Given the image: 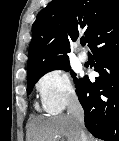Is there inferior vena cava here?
<instances>
[{
  "label": "inferior vena cava",
  "mask_w": 119,
  "mask_h": 141,
  "mask_svg": "<svg viewBox=\"0 0 119 141\" xmlns=\"http://www.w3.org/2000/svg\"><path fill=\"white\" fill-rule=\"evenodd\" d=\"M67 112L68 115L72 116L74 119L77 132L80 136V141H88L84 130V110L76 95H71L68 98Z\"/></svg>",
  "instance_id": "obj_1"
}]
</instances>
